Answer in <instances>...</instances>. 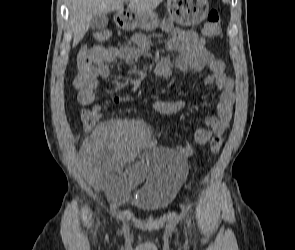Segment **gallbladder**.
Wrapping results in <instances>:
<instances>
[{
    "label": "gallbladder",
    "mask_w": 295,
    "mask_h": 250,
    "mask_svg": "<svg viewBox=\"0 0 295 250\" xmlns=\"http://www.w3.org/2000/svg\"><path fill=\"white\" fill-rule=\"evenodd\" d=\"M108 24V17L106 14H98L92 17L90 27L92 30H103Z\"/></svg>",
    "instance_id": "1"
}]
</instances>
